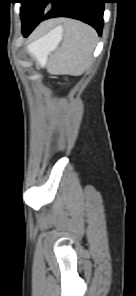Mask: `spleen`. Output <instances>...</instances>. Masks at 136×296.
I'll list each match as a JSON object with an SVG mask.
<instances>
[{"label":"spleen","mask_w":136,"mask_h":296,"mask_svg":"<svg viewBox=\"0 0 136 296\" xmlns=\"http://www.w3.org/2000/svg\"><path fill=\"white\" fill-rule=\"evenodd\" d=\"M56 32H60V37L62 39L63 28L61 26L56 27L53 33ZM96 43L97 34L92 27L79 21H69L65 30L62 46L56 57L50 63L49 71L55 74H68L73 76L83 74L92 62V54ZM33 51L40 65L44 66L46 60L43 58L40 50L33 49Z\"/></svg>","instance_id":"3e777b00"}]
</instances>
